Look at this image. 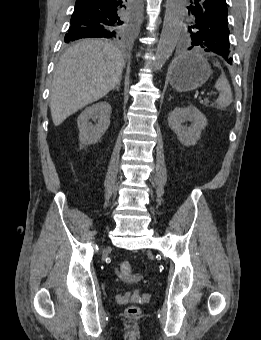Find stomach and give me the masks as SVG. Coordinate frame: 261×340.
Wrapping results in <instances>:
<instances>
[{
  "label": "stomach",
  "instance_id": "obj_1",
  "mask_svg": "<svg viewBox=\"0 0 261 340\" xmlns=\"http://www.w3.org/2000/svg\"><path fill=\"white\" fill-rule=\"evenodd\" d=\"M210 75L211 67L208 61L195 53L181 55L169 69L171 86L183 92L201 87Z\"/></svg>",
  "mask_w": 261,
  "mask_h": 340
}]
</instances>
